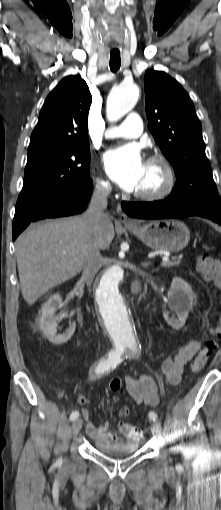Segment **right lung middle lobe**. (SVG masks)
<instances>
[{
    "instance_id": "obj_1",
    "label": "right lung middle lobe",
    "mask_w": 221,
    "mask_h": 510,
    "mask_svg": "<svg viewBox=\"0 0 221 510\" xmlns=\"http://www.w3.org/2000/svg\"><path fill=\"white\" fill-rule=\"evenodd\" d=\"M89 144L28 155L15 215L28 218L42 207L83 186L89 179Z\"/></svg>"
}]
</instances>
